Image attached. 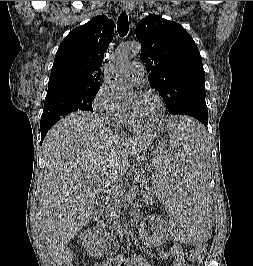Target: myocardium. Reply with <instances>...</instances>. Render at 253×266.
<instances>
[{"instance_id":"1","label":"myocardium","mask_w":253,"mask_h":266,"mask_svg":"<svg viewBox=\"0 0 253 266\" xmlns=\"http://www.w3.org/2000/svg\"><path fill=\"white\" fill-rule=\"evenodd\" d=\"M136 94L153 96L158 102L159 114L157 116V119L153 123L148 124L146 126H141L135 122L131 114L126 110V118L128 126L135 131H148V130H153L158 126H160L165 116V103L161 95L151 89L140 90L137 91Z\"/></svg>"}]
</instances>
